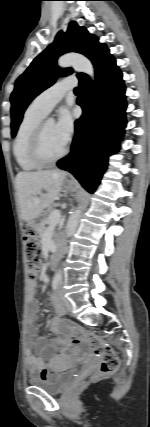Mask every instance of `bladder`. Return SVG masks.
Masks as SVG:
<instances>
[{
  "label": "bladder",
  "mask_w": 150,
  "mask_h": 427,
  "mask_svg": "<svg viewBox=\"0 0 150 427\" xmlns=\"http://www.w3.org/2000/svg\"><path fill=\"white\" fill-rule=\"evenodd\" d=\"M76 370L73 368L54 371L46 378L32 376L29 378V384L44 389L49 393H61L66 389L74 378Z\"/></svg>",
  "instance_id": "obj_1"
}]
</instances>
